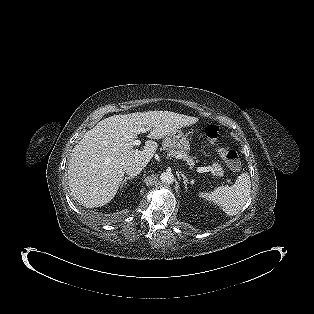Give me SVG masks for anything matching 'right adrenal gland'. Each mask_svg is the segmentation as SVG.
I'll return each instance as SVG.
<instances>
[{
	"label": "right adrenal gland",
	"instance_id": "obj_1",
	"mask_svg": "<svg viewBox=\"0 0 314 314\" xmlns=\"http://www.w3.org/2000/svg\"><path fill=\"white\" fill-rule=\"evenodd\" d=\"M133 178H134V177H125L124 180H123L122 183H121L120 188H122L123 185H126L127 180H130V179H133Z\"/></svg>",
	"mask_w": 314,
	"mask_h": 314
}]
</instances>
